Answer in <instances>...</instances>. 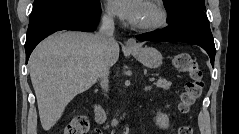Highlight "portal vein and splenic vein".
<instances>
[{"instance_id": "portal-vein-and-splenic-vein-1", "label": "portal vein and splenic vein", "mask_w": 239, "mask_h": 134, "mask_svg": "<svg viewBox=\"0 0 239 134\" xmlns=\"http://www.w3.org/2000/svg\"><path fill=\"white\" fill-rule=\"evenodd\" d=\"M149 80H150V81H154L155 79H154V78H150Z\"/></svg>"}]
</instances>
